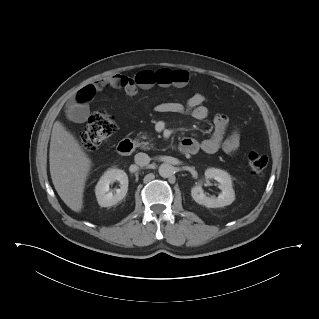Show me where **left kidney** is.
Here are the masks:
<instances>
[{"mask_svg":"<svg viewBox=\"0 0 319 319\" xmlns=\"http://www.w3.org/2000/svg\"><path fill=\"white\" fill-rule=\"evenodd\" d=\"M206 179H215L219 183L221 193L218 197H208L204 194L201 184L191 189V195L195 202L208 208H219L230 205L235 199L230 175L223 170L209 168L205 171Z\"/></svg>","mask_w":319,"mask_h":319,"instance_id":"left-kidney-1","label":"left kidney"}]
</instances>
